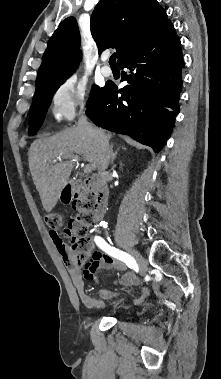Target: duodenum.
<instances>
[{
    "instance_id": "obj_1",
    "label": "duodenum",
    "mask_w": 221,
    "mask_h": 379,
    "mask_svg": "<svg viewBox=\"0 0 221 379\" xmlns=\"http://www.w3.org/2000/svg\"><path fill=\"white\" fill-rule=\"evenodd\" d=\"M90 189L95 195L94 220L99 221L103 218L107 209L108 191L98 176H91L84 181L72 180L63 191V196L68 202L77 200L84 191Z\"/></svg>"
}]
</instances>
